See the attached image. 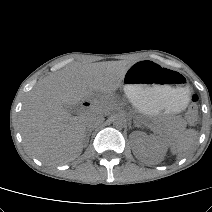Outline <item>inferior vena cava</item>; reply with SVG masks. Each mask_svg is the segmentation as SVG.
<instances>
[{"instance_id": "602c4592", "label": "inferior vena cava", "mask_w": 212, "mask_h": 212, "mask_svg": "<svg viewBox=\"0 0 212 212\" xmlns=\"http://www.w3.org/2000/svg\"><path fill=\"white\" fill-rule=\"evenodd\" d=\"M103 122L104 116L101 113L90 112L85 118V124L88 128H94Z\"/></svg>"}]
</instances>
